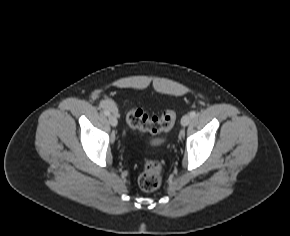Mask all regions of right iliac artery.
Here are the masks:
<instances>
[{
	"mask_svg": "<svg viewBox=\"0 0 290 236\" xmlns=\"http://www.w3.org/2000/svg\"><path fill=\"white\" fill-rule=\"evenodd\" d=\"M104 114L106 115V116H109L110 115V112H109V110H107V109H104Z\"/></svg>",
	"mask_w": 290,
	"mask_h": 236,
	"instance_id": "82829eb1",
	"label": "right iliac artery"
}]
</instances>
